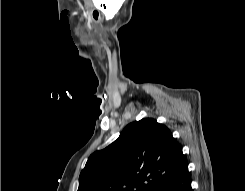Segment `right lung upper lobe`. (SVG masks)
I'll use <instances>...</instances> for the list:
<instances>
[{"mask_svg":"<svg viewBox=\"0 0 245 191\" xmlns=\"http://www.w3.org/2000/svg\"><path fill=\"white\" fill-rule=\"evenodd\" d=\"M186 168L169 129L144 118L128 124L116 141L88 158L78 191H156Z\"/></svg>","mask_w":245,"mask_h":191,"instance_id":"1","label":"right lung upper lobe"}]
</instances>
